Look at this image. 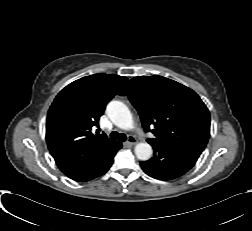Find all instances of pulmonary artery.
Listing matches in <instances>:
<instances>
[{"mask_svg":"<svg viewBox=\"0 0 252 231\" xmlns=\"http://www.w3.org/2000/svg\"><path fill=\"white\" fill-rule=\"evenodd\" d=\"M137 133H138L139 135H144V133H143V131H142L141 128H137Z\"/></svg>","mask_w":252,"mask_h":231,"instance_id":"e3ab8cb5","label":"pulmonary artery"}]
</instances>
